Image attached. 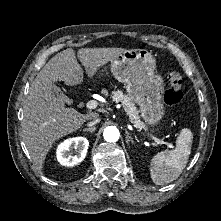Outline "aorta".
I'll use <instances>...</instances> for the list:
<instances>
[{
	"label": "aorta",
	"mask_w": 221,
	"mask_h": 221,
	"mask_svg": "<svg viewBox=\"0 0 221 221\" xmlns=\"http://www.w3.org/2000/svg\"><path fill=\"white\" fill-rule=\"evenodd\" d=\"M103 137L107 142H116L119 139V130L115 126H108L104 129Z\"/></svg>",
	"instance_id": "762f6f07"
}]
</instances>
